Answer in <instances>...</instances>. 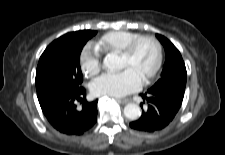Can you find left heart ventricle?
I'll return each instance as SVG.
<instances>
[{"label":"left heart ventricle","mask_w":225,"mask_h":155,"mask_svg":"<svg viewBox=\"0 0 225 155\" xmlns=\"http://www.w3.org/2000/svg\"><path fill=\"white\" fill-rule=\"evenodd\" d=\"M154 63L155 48L149 41H142L130 57L120 55V68H131L142 79L152 70Z\"/></svg>","instance_id":"obj_1"}]
</instances>
